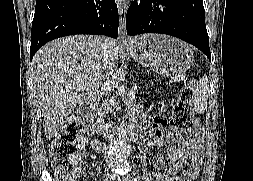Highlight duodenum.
<instances>
[{"label": "duodenum", "instance_id": "1", "mask_svg": "<svg viewBox=\"0 0 253 181\" xmlns=\"http://www.w3.org/2000/svg\"><path fill=\"white\" fill-rule=\"evenodd\" d=\"M98 97L96 95L89 96L86 100H84L79 106H78V113L81 115L84 119H86L91 129L96 133H113L116 134L117 131L112 132L110 129H105L103 123L100 121L99 117L96 114L95 111V104ZM127 132L133 133V131L127 129Z\"/></svg>", "mask_w": 253, "mask_h": 181}]
</instances>
